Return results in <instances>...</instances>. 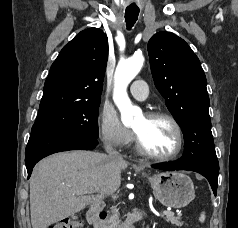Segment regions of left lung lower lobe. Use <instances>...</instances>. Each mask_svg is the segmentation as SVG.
Instances as JSON below:
<instances>
[{
    "label": "left lung lower lobe",
    "mask_w": 238,
    "mask_h": 228,
    "mask_svg": "<svg viewBox=\"0 0 238 228\" xmlns=\"http://www.w3.org/2000/svg\"><path fill=\"white\" fill-rule=\"evenodd\" d=\"M156 169L166 170V171H174V170H189L200 173L209 181L214 195L217 194V186H218V173H219V164H207V163H199L192 165H182L178 160L175 162L160 164L152 166Z\"/></svg>",
    "instance_id": "0a47b994"
}]
</instances>
